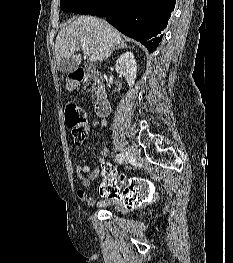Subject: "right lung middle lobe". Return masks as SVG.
<instances>
[{
  "instance_id": "right-lung-middle-lobe-1",
  "label": "right lung middle lobe",
  "mask_w": 233,
  "mask_h": 263,
  "mask_svg": "<svg viewBox=\"0 0 233 263\" xmlns=\"http://www.w3.org/2000/svg\"><path fill=\"white\" fill-rule=\"evenodd\" d=\"M102 0H60L64 12L89 14Z\"/></svg>"
}]
</instances>
